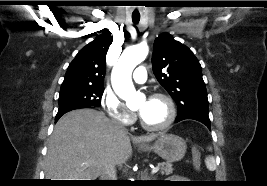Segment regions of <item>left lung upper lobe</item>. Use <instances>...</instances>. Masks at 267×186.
<instances>
[{
	"instance_id": "1",
	"label": "left lung upper lobe",
	"mask_w": 267,
	"mask_h": 186,
	"mask_svg": "<svg viewBox=\"0 0 267 186\" xmlns=\"http://www.w3.org/2000/svg\"><path fill=\"white\" fill-rule=\"evenodd\" d=\"M153 72L178 106V117L185 115L208 116V98L202 78L201 65L193 52L161 34L154 41Z\"/></svg>"
}]
</instances>
